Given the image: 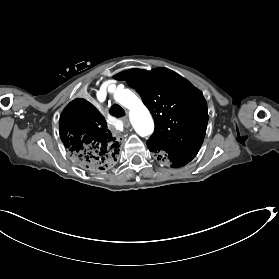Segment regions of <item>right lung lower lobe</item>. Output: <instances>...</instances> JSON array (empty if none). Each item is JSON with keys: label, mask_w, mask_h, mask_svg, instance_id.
<instances>
[{"label": "right lung lower lobe", "mask_w": 279, "mask_h": 279, "mask_svg": "<svg viewBox=\"0 0 279 279\" xmlns=\"http://www.w3.org/2000/svg\"><path fill=\"white\" fill-rule=\"evenodd\" d=\"M59 132L65 148L80 168L98 172L117 161L120 135L85 99H75L64 108Z\"/></svg>", "instance_id": "1"}]
</instances>
